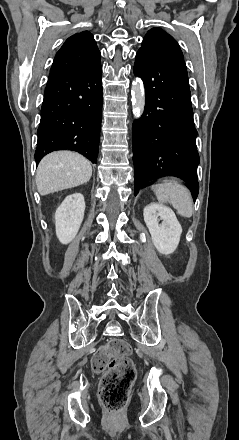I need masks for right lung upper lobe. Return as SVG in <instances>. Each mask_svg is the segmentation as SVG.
Masks as SVG:
<instances>
[{
	"label": "right lung upper lobe",
	"mask_w": 239,
	"mask_h": 440,
	"mask_svg": "<svg viewBox=\"0 0 239 440\" xmlns=\"http://www.w3.org/2000/svg\"><path fill=\"white\" fill-rule=\"evenodd\" d=\"M100 56L96 41L89 31L76 33L57 52L50 73L93 71L101 66Z\"/></svg>",
	"instance_id": "1"
}]
</instances>
